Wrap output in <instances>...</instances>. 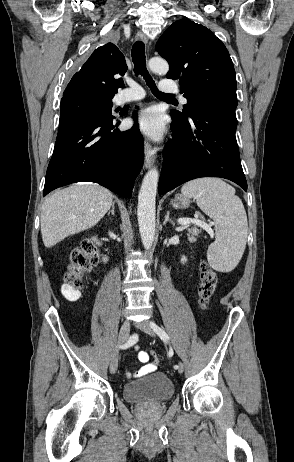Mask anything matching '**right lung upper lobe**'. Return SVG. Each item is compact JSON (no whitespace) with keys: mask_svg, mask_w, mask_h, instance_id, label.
<instances>
[{"mask_svg":"<svg viewBox=\"0 0 294 462\" xmlns=\"http://www.w3.org/2000/svg\"><path fill=\"white\" fill-rule=\"evenodd\" d=\"M125 57L113 43L98 47L67 85L63 98L75 93L114 96L124 83Z\"/></svg>","mask_w":294,"mask_h":462,"instance_id":"cb5924a9","label":"right lung upper lobe"}]
</instances>
